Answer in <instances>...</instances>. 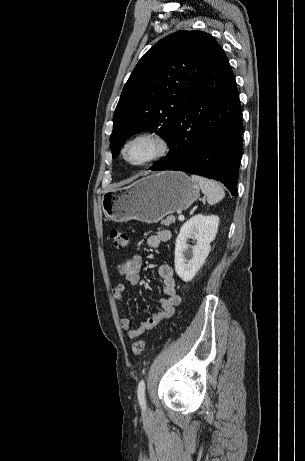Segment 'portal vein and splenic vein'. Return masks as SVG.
I'll use <instances>...</instances> for the list:
<instances>
[{"label":"portal vein and splenic vein","mask_w":305,"mask_h":461,"mask_svg":"<svg viewBox=\"0 0 305 461\" xmlns=\"http://www.w3.org/2000/svg\"><path fill=\"white\" fill-rule=\"evenodd\" d=\"M178 219H179L180 221H184V220H185V217H184V215L179 214Z\"/></svg>","instance_id":"1"}]
</instances>
